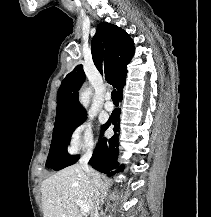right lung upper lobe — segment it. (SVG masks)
<instances>
[{
	"mask_svg": "<svg viewBox=\"0 0 211 217\" xmlns=\"http://www.w3.org/2000/svg\"><path fill=\"white\" fill-rule=\"evenodd\" d=\"M93 62L102 76L120 92L125 84L126 65L134 55V42L121 28L100 23L91 44ZM85 80L82 65H77L63 80L57 94L54 127L86 116L78 100Z\"/></svg>",
	"mask_w": 211,
	"mask_h": 217,
	"instance_id": "1",
	"label": "right lung upper lobe"
}]
</instances>
